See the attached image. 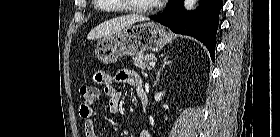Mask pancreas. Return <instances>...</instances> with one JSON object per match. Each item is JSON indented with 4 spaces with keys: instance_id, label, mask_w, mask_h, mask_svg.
<instances>
[{
    "instance_id": "cf45deb5",
    "label": "pancreas",
    "mask_w": 280,
    "mask_h": 137,
    "mask_svg": "<svg viewBox=\"0 0 280 137\" xmlns=\"http://www.w3.org/2000/svg\"><path fill=\"white\" fill-rule=\"evenodd\" d=\"M155 59L154 54L137 55L133 57V62L136 67L145 69L148 67V62Z\"/></svg>"
}]
</instances>
